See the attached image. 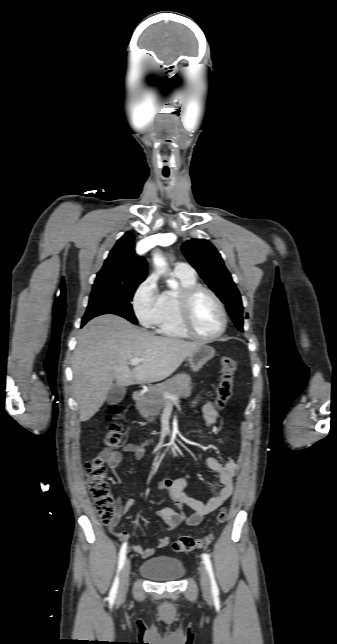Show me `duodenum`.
<instances>
[{
  "label": "duodenum",
  "mask_w": 337,
  "mask_h": 644,
  "mask_svg": "<svg viewBox=\"0 0 337 644\" xmlns=\"http://www.w3.org/2000/svg\"><path fill=\"white\" fill-rule=\"evenodd\" d=\"M142 397H143V393L141 391H135L133 393V399L135 402L141 401Z\"/></svg>",
  "instance_id": "obj_1"
}]
</instances>
